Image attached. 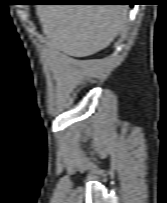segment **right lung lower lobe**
Wrapping results in <instances>:
<instances>
[{
  "label": "right lung lower lobe",
  "mask_w": 167,
  "mask_h": 203,
  "mask_svg": "<svg viewBox=\"0 0 167 203\" xmlns=\"http://www.w3.org/2000/svg\"><path fill=\"white\" fill-rule=\"evenodd\" d=\"M107 1H112V0H107ZM114 1V0H113ZM116 1V0H115ZM103 3H114V2H103ZM133 6V5H131Z\"/></svg>",
  "instance_id": "98d812e1"
}]
</instances>
